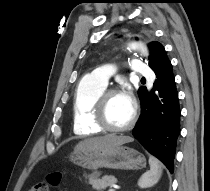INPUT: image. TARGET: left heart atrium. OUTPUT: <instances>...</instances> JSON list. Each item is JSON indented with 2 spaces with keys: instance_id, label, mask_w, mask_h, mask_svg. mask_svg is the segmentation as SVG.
I'll return each mask as SVG.
<instances>
[{
  "instance_id": "left-heart-atrium-1",
  "label": "left heart atrium",
  "mask_w": 210,
  "mask_h": 191,
  "mask_svg": "<svg viewBox=\"0 0 210 191\" xmlns=\"http://www.w3.org/2000/svg\"><path fill=\"white\" fill-rule=\"evenodd\" d=\"M120 95L122 96V98L130 105H133V97L130 91L125 90L123 92L120 93Z\"/></svg>"
}]
</instances>
